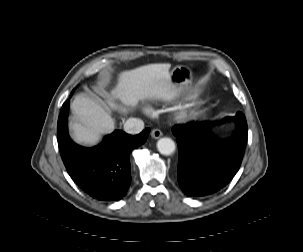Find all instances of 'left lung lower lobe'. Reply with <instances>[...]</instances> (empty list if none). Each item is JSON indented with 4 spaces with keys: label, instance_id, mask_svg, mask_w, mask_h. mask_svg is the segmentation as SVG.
<instances>
[{
    "label": "left lung lower lobe",
    "instance_id": "0a47b994",
    "mask_svg": "<svg viewBox=\"0 0 303 252\" xmlns=\"http://www.w3.org/2000/svg\"><path fill=\"white\" fill-rule=\"evenodd\" d=\"M238 125L232 137L219 140L210 132L209 122L176 125L172 132L179 149L177 178L188 196H205L227 185L238 171L247 143L245 117L226 118Z\"/></svg>",
    "mask_w": 303,
    "mask_h": 252
}]
</instances>
